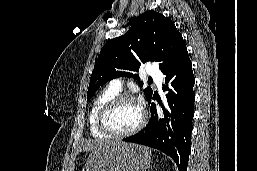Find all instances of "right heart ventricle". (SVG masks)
Returning a JSON list of instances; mask_svg holds the SVG:
<instances>
[{"mask_svg":"<svg viewBox=\"0 0 257 171\" xmlns=\"http://www.w3.org/2000/svg\"><path fill=\"white\" fill-rule=\"evenodd\" d=\"M118 96V92L112 90L111 88H106L101 91L93 100L91 108L88 114V125L91 136L100 139L109 138L104 134L97 125V119L101 108L111 99Z\"/></svg>","mask_w":257,"mask_h":171,"instance_id":"e07e8e85","label":"right heart ventricle"}]
</instances>
